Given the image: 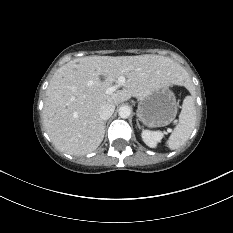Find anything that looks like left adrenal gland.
Wrapping results in <instances>:
<instances>
[{
	"label": "left adrenal gland",
	"mask_w": 233,
	"mask_h": 233,
	"mask_svg": "<svg viewBox=\"0 0 233 233\" xmlns=\"http://www.w3.org/2000/svg\"><path fill=\"white\" fill-rule=\"evenodd\" d=\"M136 123H137V127L140 129L141 127H140L138 119H136Z\"/></svg>",
	"instance_id": "left-adrenal-gland-1"
}]
</instances>
